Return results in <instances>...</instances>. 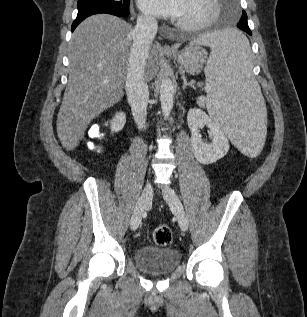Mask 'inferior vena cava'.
Masks as SVG:
<instances>
[{
  "label": "inferior vena cava",
  "mask_w": 307,
  "mask_h": 317,
  "mask_svg": "<svg viewBox=\"0 0 307 317\" xmlns=\"http://www.w3.org/2000/svg\"><path fill=\"white\" fill-rule=\"evenodd\" d=\"M158 24L152 16H141L132 31L133 44L130 50L126 75V93L132 114L139 129L145 128L149 99L148 85L145 81V65L150 45L157 33Z\"/></svg>",
  "instance_id": "1"
}]
</instances>
